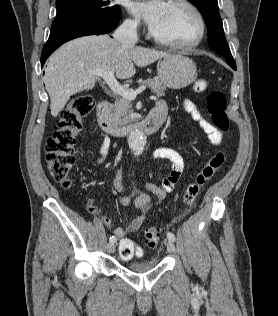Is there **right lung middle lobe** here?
Returning a JSON list of instances; mask_svg holds the SVG:
<instances>
[{"label": "right lung middle lobe", "mask_w": 278, "mask_h": 316, "mask_svg": "<svg viewBox=\"0 0 278 316\" xmlns=\"http://www.w3.org/2000/svg\"><path fill=\"white\" fill-rule=\"evenodd\" d=\"M57 15L52 27L93 18H110L120 13V7L106 0H57Z\"/></svg>", "instance_id": "obj_1"}]
</instances>
